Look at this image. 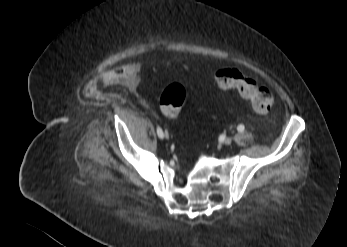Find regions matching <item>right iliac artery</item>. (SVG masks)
Masks as SVG:
<instances>
[{"label": "right iliac artery", "instance_id": "obj_1", "mask_svg": "<svg viewBox=\"0 0 347 247\" xmlns=\"http://www.w3.org/2000/svg\"><path fill=\"white\" fill-rule=\"evenodd\" d=\"M157 134L160 138H163L164 137V134H163V131L160 127H157Z\"/></svg>", "mask_w": 347, "mask_h": 247}]
</instances>
